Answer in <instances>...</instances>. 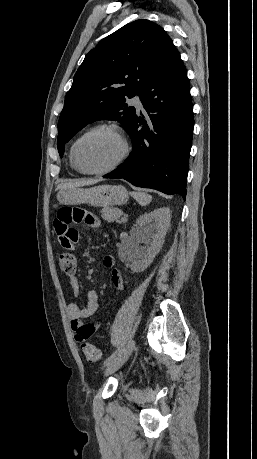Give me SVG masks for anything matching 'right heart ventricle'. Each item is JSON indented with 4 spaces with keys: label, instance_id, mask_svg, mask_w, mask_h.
Here are the masks:
<instances>
[{
    "label": "right heart ventricle",
    "instance_id": "1",
    "mask_svg": "<svg viewBox=\"0 0 257 459\" xmlns=\"http://www.w3.org/2000/svg\"><path fill=\"white\" fill-rule=\"evenodd\" d=\"M69 161H70V165H71L72 169L78 171V170L76 169V167L74 166L73 161H72V159H71V150H70V154H69Z\"/></svg>",
    "mask_w": 257,
    "mask_h": 459
}]
</instances>
